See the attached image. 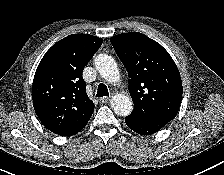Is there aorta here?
Returning <instances> with one entry per match:
<instances>
[{
	"label": "aorta",
	"mask_w": 224,
	"mask_h": 175,
	"mask_svg": "<svg viewBox=\"0 0 224 175\" xmlns=\"http://www.w3.org/2000/svg\"><path fill=\"white\" fill-rule=\"evenodd\" d=\"M95 67L100 75L110 83H115L120 79L117 63L111 55L99 54L95 58ZM111 106L120 116H128L133 110L131 98L124 94L114 95L111 99Z\"/></svg>",
	"instance_id": "aorta-1"
}]
</instances>
